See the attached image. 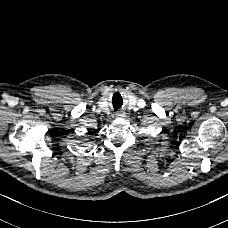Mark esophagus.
<instances>
[{
  "label": "esophagus",
  "instance_id": "obj_1",
  "mask_svg": "<svg viewBox=\"0 0 228 228\" xmlns=\"http://www.w3.org/2000/svg\"><path fill=\"white\" fill-rule=\"evenodd\" d=\"M117 116H118V117H121V116H122V113H119Z\"/></svg>",
  "mask_w": 228,
  "mask_h": 228
}]
</instances>
